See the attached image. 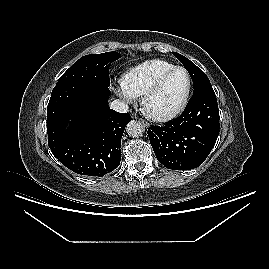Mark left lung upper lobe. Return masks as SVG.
Listing matches in <instances>:
<instances>
[{
	"mask_svg": "<svg viewBox=\"0 0 269 269\" xmlns=\"http://www.w3.org/2000/svg\"><path fill=\"white\" fill-rule=\"evenodd\" d=\"M172 53L176 58H178V60L184 65L185 69L189 72L193 81L194 91L203 86L211 84L206 74L189 59L179 53Z\"/></svg>",
	"mask_w": 269,
	"mask_h": 269,
	"instance_id": "5c2ea615",
	"label": "left lung upper lobe"
}]
</instances>
